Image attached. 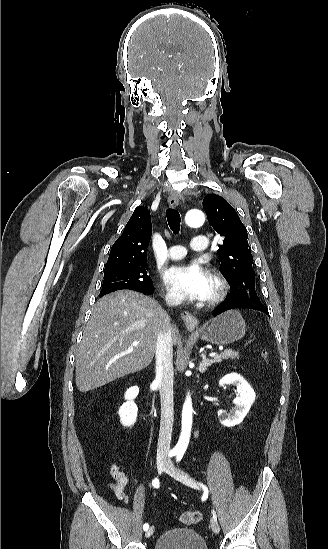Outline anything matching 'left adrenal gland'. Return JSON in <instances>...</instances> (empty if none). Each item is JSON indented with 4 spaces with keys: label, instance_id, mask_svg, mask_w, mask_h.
Returning <instances> with one entry per match:
<instances>
[{
    "label": "left adrenal gland",
    "instance_id": "left-adrenal-gland-1",
    "mask_svg": "<svg viewBox=\"0 0 328 549\" xmlns=\"http://www.w3.org/2000/svg\"><path fill=\"white\" fill-rule=\"evenodd\" d=\"M201 357H202V363L199 367V371H200V373H204V371H206L207 367H211L213 361H209V359H206L205 353H202Z\"/></svg>",
    "mask_w": 328,
    "mask_h": 549
}]
</instances>
